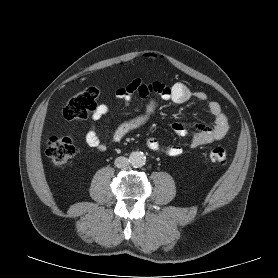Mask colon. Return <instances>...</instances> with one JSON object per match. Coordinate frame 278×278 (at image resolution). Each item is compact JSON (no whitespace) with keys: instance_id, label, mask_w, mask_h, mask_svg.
Instances as JSON below:
<instances>
[{"instance_id":"5ec220e1","label":"colon","mask_w":278,"mask_h":278,"mask_svg":"<svg viewBox=\"0 0 278 278\" xmlns=\"http://www.w3.org/2000/svg\"><path fill=\"white\" fill-rule=\"evenodd\" d=\"M98 97L99 89L96 86H89L63 107L62 119L77 121L87 118L97 107ZM74 153L75 147L69 137H51L47 141L46 155L57 166L65 165ZM206 158L210 163L224 165L227 162V153L222 147H215L207 153Z\"/></svg>"}]
</instances>
